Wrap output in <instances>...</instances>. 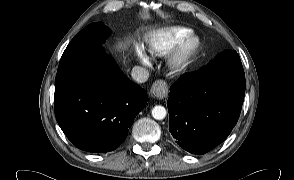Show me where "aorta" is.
<instances>
[{
  "label": "aorta",
  "mask_w": 294,
  "mask_h": 180,
  "mask_svg": "<svg viewBox=\"0 0 294 180\" xmlns=\"http://www.w3.org/2000/svg\"><path fill=\"white\" fill-rule=\"evenodd\" d=\"M166 114V109L161 105H157L152 109V116L156 120H163Z\"/></svg>",
  "instance_id": "obj_1"
}]
</instances>
